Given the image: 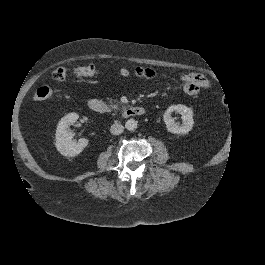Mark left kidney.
<instances>
[{
  "mask_svg": "<svg viewBox=\"0 0 265 265\" xmlns=\"http://www.w3.org/2000/svg\"><path fill=\"white\" fill-rule=\"evenodd\" d=\"M172 112H177L182 115V126H176L174 121L171 119L170 115ZM194 112L191 108H188L184 105H173L168 107L166 110L163 119L166 125L167 130L175 135L182 136L188 134L194 126Z\"/></svg>",
  "mask_w": 265,
  "mask_h": 265,
  "instance_id": "1",
  "label": "left kidney"
}]
</instances>
